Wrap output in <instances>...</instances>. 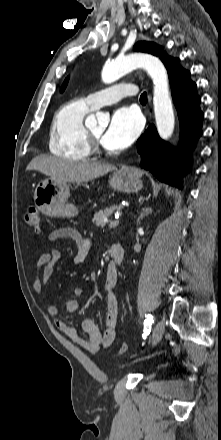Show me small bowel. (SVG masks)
I'll return each mask as SVG.
<instances>
[{"label": "small bowel", "instance_id": "c3829d8e", "mask_svg": "<svg viewBox=\"0 0 221 440\" xmlns=\"http://www.w3.org/2000/svg\"><path fill=\"white\" fill-rule=\"evenodd\" d=\"M66 238L72 239L76 244L74 262L76 264L83 263L90 252L92 246L91 240L83 237L78 230L72 227L59 228L53 230L48 235V239L51 242ZM59 259L60 251L54 247L39 257L37 262L39 273L33 282V288L37 293L43 291L46 282L53 275ZM117 280V272L111 264H109L103 284L106 295L105 330L103 332L99 330L92 318H85L81 324L82 331L86 335V338H83L74 326L61 317L58 306L52 305L48 308V314L54 320L56 327L71 341L89 353H96L101 348L110 346L115 340L119 311L118 298L115 293ZM82 293V288L78 287L74 289L75 296H81ZM78 307V301L76 299H70L64 303L63 311L65 314H73L78 310Z\"/></svg>", "mask_w": 221, "mask_h": 440}]
</instances>
